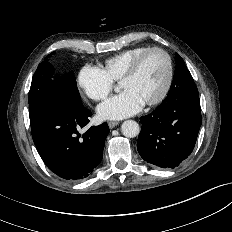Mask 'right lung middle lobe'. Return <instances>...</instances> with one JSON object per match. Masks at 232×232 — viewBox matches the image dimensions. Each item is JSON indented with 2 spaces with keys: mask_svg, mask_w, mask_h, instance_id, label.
<instances>
[{
  "mask_svg": "<svg viewBox=\"0 0 232 232\" xmlns=\"http://www.w3.org/2000/svg\"><path fill=\"white\" fill-rule=\"evenodd\" d=\"M38 65L29 91V117L31 130L34 129L47 113L51 100L59 93L67 95L74 103L82 104L73 71L62 76H54L53 67L48 57Z\"/></svg>",
  "mask_w": 232,
  "mask_h": 232,
  "instance_id": "dd1d6c3e",
  "label": "right lung middle lobe"
}]
</instances>
